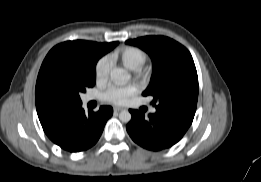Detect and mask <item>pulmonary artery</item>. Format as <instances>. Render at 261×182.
I'll use <instances>...</instances> for the list:
<instances>
[{
  "label": "pulmonary artery",
  "mask_w": 261,
  "mask_h": 182,
  "mask_svg": "<svg viewBox=\"0 0 261 182\" xmlns=\"http://www.w3.org/2000/svg\"><path fill=\"white\" fill-rule=\"evenodd\" d=\"M92 99H93L92 96H87V97L85 98V101H90V100H92ZM155 112H156V109H155V108L151 109V113H155Z\"/></svg>",
  "instance_id": "1"
}]
</instances>
